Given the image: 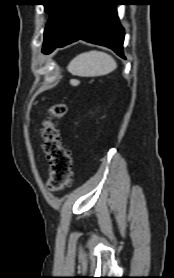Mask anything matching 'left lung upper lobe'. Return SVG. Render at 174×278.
Masks as SVG:
<instances>
[{
  "instance_id": "obj_1",
  "label": "left lung upper lobe",
  "mask_w": 174,
  "mask_h": 278,
  "mask_svg": "<svg viewBox=\"0 0 174 278\" xmlns=\"http://www.w3.org/2000/svg\"><path fill=\"white\" fill-rule=\"evenodd\" d=\"M78 0H45V12L50 14L44 31L42 52L51 49L65 34Z\"/></svg>"
}]
</instances>
